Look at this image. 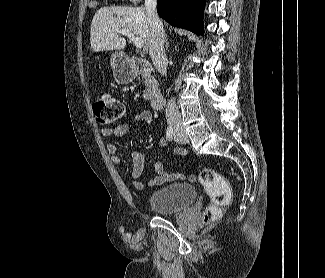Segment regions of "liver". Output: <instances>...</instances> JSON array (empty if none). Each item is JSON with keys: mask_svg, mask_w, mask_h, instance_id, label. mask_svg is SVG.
<instances>
[{"mask_svg": "<svg viewBox=\"0 0 325 278\" xmlns=\"http://www.w3.org/2000/svg\"><path fill=\"white\" fill-rule=\"evenodd\" d=\"M128 29L150 44L151 27L143 7H103L94 15L90 28V44L94 52L120 50L126 46L125 38L116 30Z\"/></svg>", "mask_w": 325, "mask_h": 278, "instance_id": "1", "label": "liver"}]
</instances>
